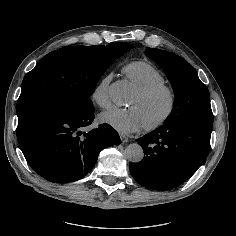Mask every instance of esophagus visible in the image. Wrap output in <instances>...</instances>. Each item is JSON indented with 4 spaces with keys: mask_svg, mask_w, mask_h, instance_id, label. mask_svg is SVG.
<instances>
[{
    "mask_svg": "<svg viewBox=\"0 0 236 236\" xmlns=\"http://www.w3.org/2000/svg\"><path fill=\"white\" fill-rule=\"evenodd\" d=\"M119 137L121 138V141H122L123 143H126V142L128 141V137L125 136V135L122 134V133L119 134Z\"/></svg>",
    "mask_w": 236,
    "mask_h": 236,
    "instance_id": "esophagus-1",
    "label": "esophagus"
}]
</instances>
